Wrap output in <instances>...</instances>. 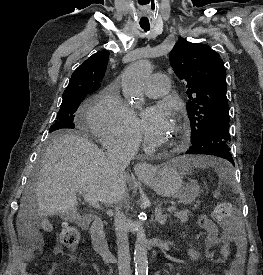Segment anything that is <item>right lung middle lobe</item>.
<instances>
[{
  "label": "right lung middle lobe",
  "mask_w": 263,
  "mask_h": 275,
  "mask_svg": "<svg viewBox=\"0 0 263 275\" xmlns=\"http://www.w3.org/2000/svg\"><path fill=\"white\" fill-rule=\"evenodd\" d=\"M88 92H74L63 95V100L60 106V110L57 113L56 120L54 124L50 127V132L60 130V129H73L75 127L74 113L79 107L80 103L83 101L84 97Z\"/></svg>",
  "instance_id": "dd1d6c3e"
}]
</instances>
